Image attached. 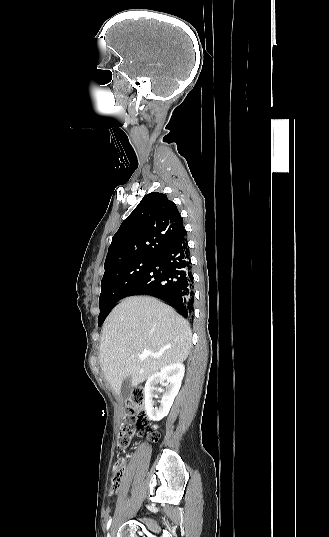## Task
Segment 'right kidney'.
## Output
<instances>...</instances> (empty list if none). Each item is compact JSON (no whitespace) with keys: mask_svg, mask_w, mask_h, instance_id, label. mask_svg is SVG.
Segmentation results:
<instances>
[{"mask_svg":"<svg viewBox=\"0 0 329 537\" xmlns=\"http://www.w3.org/2000/svg\"><path fill=\"white\" fill-rule=\"evenodd\" d=\"M185 368L182 363H174L162 368L160 372L152 374L146 381L144 388L145 409L153 421H159L168 415L176 395L181 387ZM165 380L167 382L165 383ZM157 384H163V395L159 407H154V390Z\"/></svg>","mask_w":329,"mask_h":537,"instance_id":"obj_1","label":"right kidney"}]
</instances>
